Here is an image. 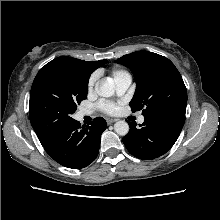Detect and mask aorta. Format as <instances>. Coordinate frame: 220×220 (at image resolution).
Segmentation results:
<instances>
[{"label":"aorta","mask_w":220,"mask_h":220,"mask_svg":"<svg viewBox=\"0 0 220 220\" xmlns=\"http://www.w3.org/2000/svg\"><path fill=\"white\" fill-rule=\"evenodd\" d=\"M95 91L101 97H111L115 92L114 85L108 81L96 83ZM114 131L120 136H125L129 132V125L126 121H118L114 124Z\"/></svg>","instance_id":"762f6f07"}]
</instances>
